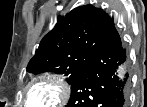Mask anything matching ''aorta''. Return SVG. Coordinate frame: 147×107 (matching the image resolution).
I'll return each mask as SVG.
<instances>
[{"label":"aorta","instance_id":"1","mask_svg":"<svg viewBox=\"0 0 147 107\" xmlns=\"http://www.w3.org/2000/svg\"><path fill=\"white\" fill-rule=\"evenodd\" d=\"M121 72V69L119 68V71H118V73H120Z\"/></svg>","mask_w":147,"mask_h":107}]
</instances>
